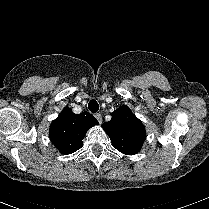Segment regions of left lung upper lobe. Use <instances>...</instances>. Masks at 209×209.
I'll use <instances>...</instances> for the list:
<instances>
[{
	"label": "left lung upper lobe",
	"mask_w": 209,
	"mask_h": 209,
	"mask_svg": "<svg viewBox=\"0 0 209 209\" xmlns=\"http://www.w3.org/2000/svg\"><path fill=\"white\" fill-rule=\"evenodd\" d=\"M102 127L110 137L114 148L126 155L139 152L146 138L142 122L126 105L115 110L112 119L103 123Z\"/></svg>",
	"instance_id": "obj_1"
}]
</instances>
